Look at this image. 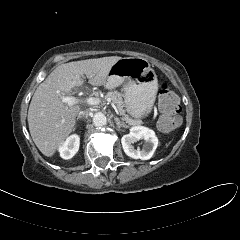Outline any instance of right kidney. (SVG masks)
Segmentation results:
<instances>
[{
    "mask_svg": "<svg viewBox=\"0 0 240 240\" xmlns=\"http://www.w3.org/2000/svg\"><path fill=\"white\" fill-rule=\"evenodd\" d=\"M80 138L73 134L59 147L60 156L63 159H71L79 150Z\"/></svg>",
    "mask_w": 240,
    "mask_h": 240,
    "instance_id": "right-kidney-1",
    "label": "right kidney"
}]
</instances>
